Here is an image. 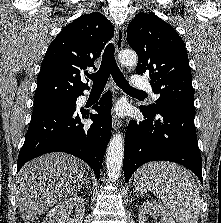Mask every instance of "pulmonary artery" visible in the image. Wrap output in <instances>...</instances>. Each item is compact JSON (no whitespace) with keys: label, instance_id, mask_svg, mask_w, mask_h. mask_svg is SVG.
<instances>
[{"label":"pulmonary artery","instance_id":"pulmonary-artery-1","mask_svg":"<svg viewBox=\"0 0 221 223\" xmlns=\"http://www.w3.org/2000/svg\"><path fill=\"white\" fill-rule=\"evenodd\" d=\"M132 84H133V87H135L136 89H144V90H149L150 89L149 81L146 78H143V77L134 76L132 78ZM152 97L154 99H158L159 96L157 94L153 93Z\"/></svg>","mask_w":221,"mask_h":223}]
</instances>
